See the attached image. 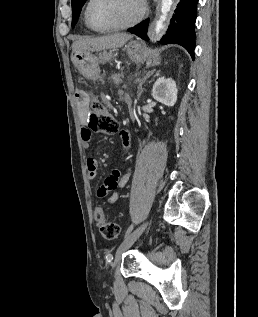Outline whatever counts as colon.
<instances>
[{"label":"colon","mask_w":258,"mask_h":317,"mask_svg":"<svg viewBox=\"0 0 258 317\" xmlns=\"http://www.w3.org/2000/svg\"><path fill=\"white\" fill-rule=\"evenodd\" d=\"M87 128L91 132L112 134L118 131L119 123L115 116L101 103L97 100H91L89 104ZM94 216L99 232L103 238L114 240L119 237L120 227L118 224L106 220L102 208H96Z\"/></svg>","instance_id":"1"}]
</instances>
